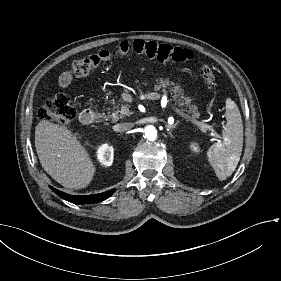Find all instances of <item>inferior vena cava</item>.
Wrapping results in <instances>:
<instances>
[{"label":"inferior vena cava","mask_w":281,"mask_h":281,"mask_svg":"<svg viewBox=\"0 0 281 281\" xmlns=\"http://www.w3.org/2000/svg\"><path fill=\"white\" fill-rule=\"evenodd\" d=\"M129 128H130V127H129L128 125H126V124H123V125L120 126V130H121V131H128Z\"/></svg>","instance_id":"1"}]
</instances>
